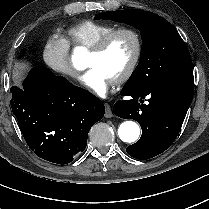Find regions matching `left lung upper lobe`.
Listing matches in <instances>:
<instances>
[{"label": "left lung upper lobe", "mask_w": 209, "mask_h": 209, "mask_svg": "<svg viewBox=\"0 0 209 209\" xmlns=\"http://www.w3.org/2000/svg\"><path fill=\"white\" fill-rule=\"evenodd\" d=\"M95 19L125 23L141 32L140 61L125 85L146 86L193 73L188 48L163 17L140 9H125L99 13Z\"/></svg>", "instance_id": "5c2ea615"}]
</instances>
